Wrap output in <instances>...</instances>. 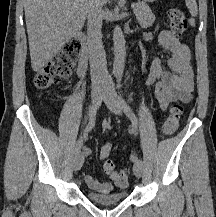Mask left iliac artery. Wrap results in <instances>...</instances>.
<instances>
[{"mask_svg":"<svg viewBox=\"0 0 216 217\" xmlns=\"http://www.w3.org/2000/svg\"><path fill=\"white\" fill-rule=\"evenodd\" d=\"M121 76L119 75L117 77V88L119 90V95H120V101H121V104H122V108L125 112V114L129 117V119L131 120V123H132V133H136L137 131V118L134 114V112L132 111L131 107L129 106V104L126 102L125 98L123 97V94H122V90H121ZM131 159L132 161L134 162H139V159L137 157L136 154L132 153L131 154Z\"/></svg>","mask_w":216,"mask_h":217,"instance_id":"1","label":"left iliac artery"}]
</instances>
